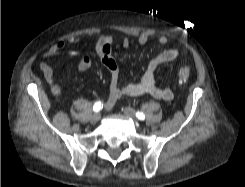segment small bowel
Returning a JSON list of instances; mask_svg holds the SVG:
<instances>
[{
  "label": "small bowel",
  "instance_id": "1",
  "mask_svg": "<svg viewBox=\"0 0 245 187\" xmlns=\"http://www.w3.org/2000/svg\"><path fill=\"white\" fill-rule=\"evenodd\" d=\"M149 41V36L147 34H140L138 36V43L140 45H145ZM70 43L75 44L78 42L76 38H71ZM114 39L112 36L106 35L99 39L96 45V51L101 59L103 65L106 67L110 74V91L109 97L105 103V108L110 109L114 106L116 101L123 96H141L149 95L156 99H161L165 101L172 100L174 94L169 88H160L157 86L155 81V73L159 66L162 64L174 61L180 55V50L177 47H172L163 50L157 56H155L147 65L146 70L139 82H129L124 85L119 83L120 69L113 58L112 55V44ZM157 43L160 46H165L168 43V39L164 35H159L157 37ZM121 44L123 47L127 48L130 46V39L128 37H123L121 39ZM65 43L63 41H58L55 43L48 51L49 56H56L61 53L64 48ZM91 66V59L89 56L84 55L80 57L76 63V70L78 72H83L89 69ZM40 70L43 73L44 78L50 84L51 89L54 94H61L62 87L56 82L55 75L52 67L46 61L40 63Z\"/></svg>",
  "mask_w": 245,
  "mask_h": 187
}]
</instances>
